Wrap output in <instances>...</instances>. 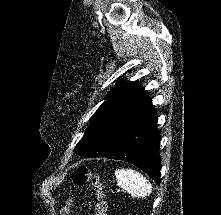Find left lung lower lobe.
<instances>
[{"mask_svg":"<svg viewBox=\"0 0 221 215\" xmlns=\"http://www.w3.org/2000/svg\"><path fill=\"white\" fill-rule=\"evenodd\" d=\"M151 99L144 95L113 129L102 157L130 162L160 183V134Z\"/></svg>","mask_w":221,"mask_h":215,"instance_id":"obj_1","label":"left lung lower lobe"}]
</instances>
